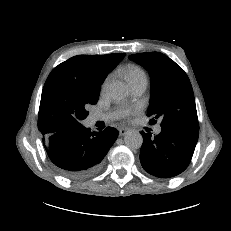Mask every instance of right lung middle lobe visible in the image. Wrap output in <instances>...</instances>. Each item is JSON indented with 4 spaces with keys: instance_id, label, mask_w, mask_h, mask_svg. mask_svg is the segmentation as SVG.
<instances>
[{
    "instance_id": "right-lung-middle-lobe-1",
    "label": "right lung middle lobe",
    "mask_w": 231,
    "mask_h": 231,
    "mask_svg": "<svg viewBox=\"0 0 231 231\" xmlns=\"http://www.w3.org/2000/svg\"><path fill=\"white\" fill-rule=\"evenodd\" d=\"M101 83L78 78L74 71L63 66L49 74L41 95L38 129L72 127L81 124L89 105L99 99Z\"/></svg>"
}]
</instances>
